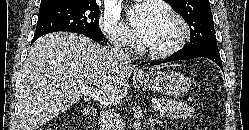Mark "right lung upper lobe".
Wrapping results in <instances>:
<instances>
[{
    "label": "right lung upper lobe",
    "instance_id": "obj_1",
    "mask_svg": "<svg viewBox=\"0 0 249 130\" xmlns=\"http://www.w3.org/2000/svg\"><path fill=\"white\" fill-rule=\"evenodd\" d=\"M63 1H65V0H41L40 6L57 4V3H61ZM91 1H95V0H91Z\"/></svg>",
    "mask_w": 249,
    "mask_h": 130
}]
</instances>
